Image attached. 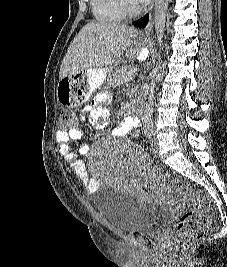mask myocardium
Listing matches in <instances>:
<instances>
[{
    "instance_id": "f54148a6",
    "label": "myocardium",
    "mask_w": 227,
    "mask_h": 267,
    "mask_svg": "<svg viewBox=\"0 0 227 267\" xmlns=\"http://www.w3.org/2000/svg\"><path fill=\"white\" fill-rule=\"evenodd\" d=\"M117 4L123 16L134 17L140 12V9L129 0H117Z\"/></svg>"
}]
</instances>
